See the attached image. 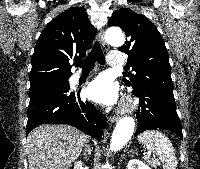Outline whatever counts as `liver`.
<instances>
[{
  "label": "liver",
  "mask_w": 200,
  "mask_h": 169,
  "mask_svg": "<svg viewBox=\"0 0 200 169\" xmlns=\"http://www.w3.org/2000/svg\"><path fill=\"white\" fill-rule=\"evenodd\" d=\"M89 138L69 125H41L27 136L29 169H69Z\"/></svg>",
  "instance_id": "6515ba94"
}]
</instances>
